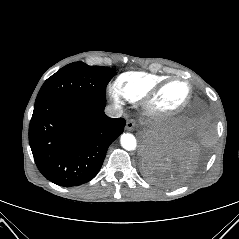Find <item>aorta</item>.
Segmentation results:
<instances>
[{"label": "aorta", "mask_w": 239, "mask_h": 239, "mask_svg": "<svg viewBox=\"0 0 239 239\" xmlns=\"http://www.w3.org/2000/svg\"><path fill=\"white\" fill-rule=\"evenodd\" d=\"M120 144L127 151L135 150L137 147L136 138L131 133L122 134L120 137Z\"/></svg>", "instance_id": "aorta-1"}]
</instances>
